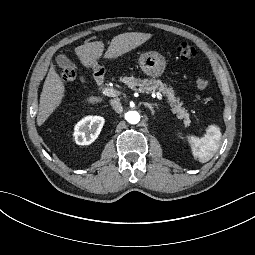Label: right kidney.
<instances>
[{
    "label": "right kidney",
    "mask_w": 255,
    "mask_h": 255,
    "mask_svg": "<svg viewBox=\"0 0 255 255\" xmlns=\"http://www.w3.org/2000/svg\"><path fill=\"white\" fill-rule=\"evenodd\" d=\"M105 123L101 116H86L74 127V139L78 145L91 144L100 134Z\"/></svg>",
    "instance_id": "obj_1"
}]
</instances>
